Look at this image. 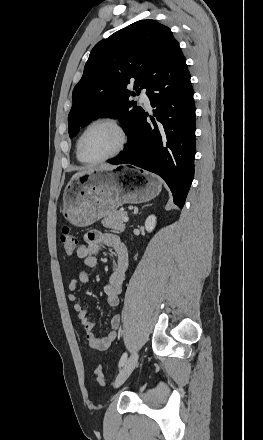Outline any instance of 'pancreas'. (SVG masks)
<instances>
[{"label":"pancreas","instance_id":"pancreas-1","mask_svg":"<svg viewBox=\"0 0 263 440\" xmlns=\"http://www.w3.org/2000/svg\"><path fill=\"white\" fill-rule=\"evenodd\" d=\"M127 213L123 210L115 211L111 215L106 216L102 220L103 226L107 228H112L115 231L123 232L125 230V224L122 220L123 216H126Z\"/></svg>","mask_w":263,"mask_h":440}]
</instances>
